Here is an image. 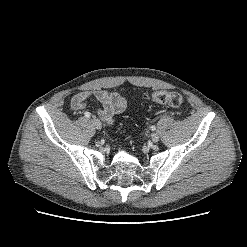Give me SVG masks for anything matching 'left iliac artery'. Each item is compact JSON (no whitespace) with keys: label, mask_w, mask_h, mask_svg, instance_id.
Masks as SVG:
<instances>
[{"label":"left iliac artery","mask_w":247,"mask_h":247,"mask_svg":"<svg viewBox=\"0 0 247 247\" xmlns=\"http://www.w3.org/2000/svg\"><path fill=\"white\" fill-rule=\"evenodd\" d=\"M156 129V127L153 125L151 126V130L154 131Z\"/></svg>","instance_id":"left-iliac-artery-1"}]
</instances>
